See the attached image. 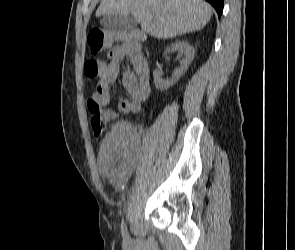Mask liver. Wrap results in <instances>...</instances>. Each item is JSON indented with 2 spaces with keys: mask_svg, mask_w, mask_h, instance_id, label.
Returning a JSON list of instances; mask_svg holds the SVG:
<instances>
[{
  "mask_svg": "<svg viewBox=\"0 0 295 250\" xmlns=\"http://www.w3.org/2000/svg\"><path fill=\"white\" fill-rule=\"evenodd\" d=\"M113 14H131L147 34L169 39L203 29L212 7L203 0H101L96 17Z\"/></svg>",
  "mask_w": 295,
  "mask_h": 250,
  "instance_id": "1",
  "label": "liver"
}]
</instances>
